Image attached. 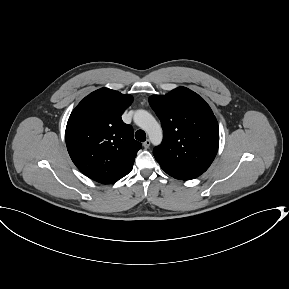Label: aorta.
Returning <instances> with one entry per match:
<instances>
[{
    "label": "aorta",
    "instance_id": "1",
    "mask_svg": "<svg viewBox=\"0 0 289 289\" xmlns=\"http://www.w3.org/2000/svg\"><path fill=\"white\" fill-rule=\"evenodd\" d=\"M134 123L142 128L154 145H159L163 138L160 124L146 110H137L133 117Z\"/></svg>",
    "mask_w": 289,
    "mask_h": 289
}]
</instances>
